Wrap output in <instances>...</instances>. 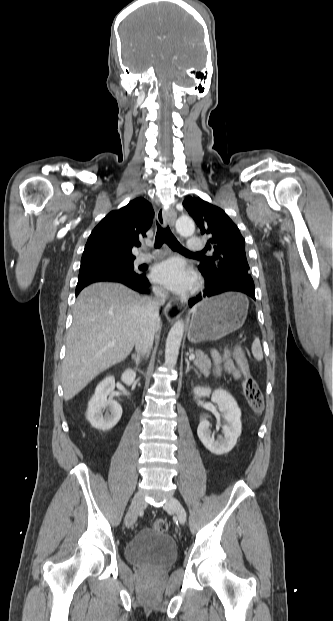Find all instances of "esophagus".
<instances>
[{
	"mask_svg": "<svg viewBox=\"0 0 333 621\" xmlns=\"http://www.w3.org/2000/svg\"><path fill=\"white\" fill-rule=\"evenodd\" d=\"M157 220L159 224L162 226H166L168 224L171 227H173L176 221V212L173 208H169V209L159 208V210L157 211ZM185 308H186L185 300H174V301L167 303L164 309V313H165L166 318L170 322H173L182 314Z\"/></svg>",
	"mask_w": 333,
	"mask_h": 621,
	"instance_id": "1",
	"label": "esophagus"
}]
</instances>
